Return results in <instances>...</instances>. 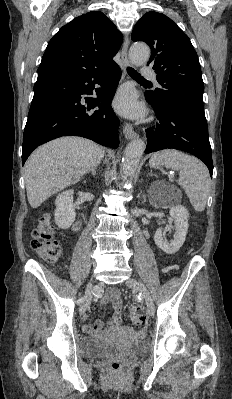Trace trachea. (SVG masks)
<instances>
[{
    "instance_id": "obj_1",
    "label": "trachea",
    "mask_w": 232,
    "mask_h": 399,
    "mask_svg": "<svg viewBox=\"0 0 232 399\" xmlns=\"http://www.w3.org/2000/svg\"><path fill=\"white\" fill-rule=\"evenodd\" d=\"M127 72L128 75H130V77H132L135 80H144L146 82H149L148 80H146V78L142 77V75H140V73H138L137 70H134V68L128 67Z\"/></svg>"
}]
</instances>
